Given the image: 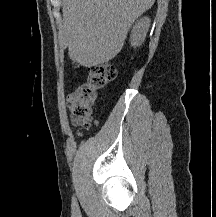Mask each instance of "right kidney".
Listing matches in <instances>:
<instances>
[{
	"instance_id": "ca27d5eb",
	"label": "right kidney",
	"mask_w": 216,
	"mask_h": 217,
	"mask_svg": "<svg viewBox=\"0 0 216 217\" xmlns=\"http://www.w3.org/2000/svg\"><path fill=\"white\" fill-rule=\"evenodd\" d=\"M150 26V19L148 17L141 18L133 27L130 40L131 45L136 47L140 46L144 41Z\"/></svg>"
}]
</instances>
